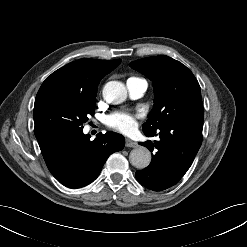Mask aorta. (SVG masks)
Returning <instances> with one entry per match:
<instances>
[{
	"label": "aorta",
	"instance_id": "aorta-1",
	"mask_svg": "<svg viewBox=\"0 0 247 247\" xmlns=\"http://www.w3.org/2000/svg\"><path fill=\"white\" fill-rule=\"evenodd\" d=\"M103 97L108 103L120 104L127 98L126 87L119 81H110L103 88ZM129 160L134 167L144 169L151 162V153L147 148L140 146L130 152Z\"/></svg>",
	"mask_w": 247,
	"mask_h": 247
}]
</instances>
